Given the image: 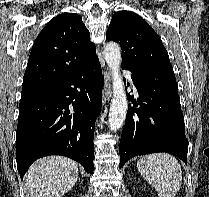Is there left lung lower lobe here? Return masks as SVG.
<instances>
[{"instance_id": "1", "label": "left lung lower lobe", "mask_w": 209, "mask_h": 197, "mask_svg": "<svg viewBox=\"0 0 209 197\" xmlns=\"http://www.w3.org/2000/svg\"><path fill=\"white\" fill-rule=\"evenodd\" d=\"M132 79L138 91V102L133 103L122 131L119 152L120 165L131 157L156 152H166L186 163L188 140L185 136L184 117L181 111L176 81L152 80L132 71Z\"/></svg>"}]
</instances>
